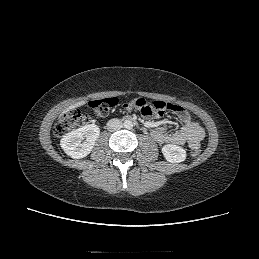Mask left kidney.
Listing matches in <instances>:
<instances>
[{
	"instance_id": "1",
	"label": "left kidney",
	"mask_w": 259,
	"mask_h": 259,
	"mask_svg": "<svg viewBox=\"0 0 259 259\" xmlns=\"http://www.w3.org/2000/svg\"><path fill=\"white\" fill-rule=\"evenodd\" d=\"M165 159L171 163H180L186 159V151L177 145L167 144L162 147Z\"/></svg>"
}]
</instances>
